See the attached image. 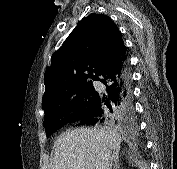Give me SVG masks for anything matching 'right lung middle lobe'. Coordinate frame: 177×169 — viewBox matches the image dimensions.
<instances>
[{"instance_id": "dd1d6c3e", "label": "right lung middle lobe", "mask_w": 177, "mask_h": 169, "mask_svg": "<svg viewBox=\"0 0 177 169\" xmlns=\"http://www.w3.org/2000/svg\"><path fill=\"white\" fill-rule=\"evenodd\" d=\"M96 94L97 92L90 82L75 88L61 100L43 107L45 112L44 127L47 136L81 117L92 106ZM118 126H123V124Z\"/></svg>"}]
</instances>
